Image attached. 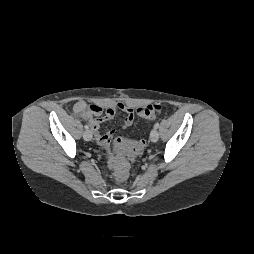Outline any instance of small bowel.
Returning a JSON list of instances; mask_svg holds the SVG:
<instances>
[{"label": "small bowel", "mask_w": 254, "mask_h": 254, "mask_svg": "<svg viewBox=\"0 0 254 254\" xmlns=\"http://www.w3.org/2000/svg\"><path fill=\"white\" fill-rule=\"evenodd\" d=\"M74 111L81 114L89 122L98 143L106 149L110 146L115 132L114 130L101 132V123L111 119L117 111L125 113L123 128L130 127L134 121V110L123 103H118L114 107L103 108L98 105L88 106L84 101H79L75 104ZM131 156H135V154H131Z\"/></svg>", "instance_id": "obj_1"}]
</instances>
